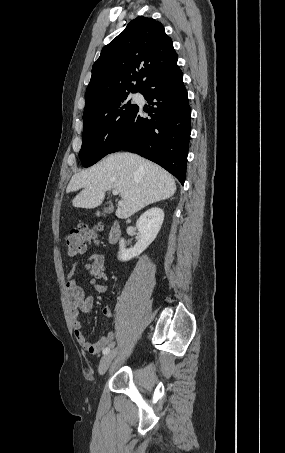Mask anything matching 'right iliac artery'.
<instances>
[{
    "label": "right iliac artery",
    "instance_id": "1",
    "mask_svg": "<svg viewBox=\"0 0 285 453\" xmlns=\"http://www.w3.org/2000/svg\"><path fill=\"white\" fill-rule=\"evenodd\" d=\"M113 346H114V343H111V344L109 345V347H106V348L103 350V354H104V355L107 354V353L110 351V347H113Z\"/></svg>",
    "mask_w": 285,
    "mask_h": 453
}]
</instances>
